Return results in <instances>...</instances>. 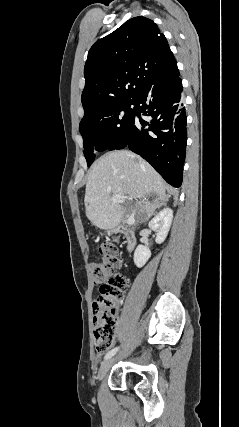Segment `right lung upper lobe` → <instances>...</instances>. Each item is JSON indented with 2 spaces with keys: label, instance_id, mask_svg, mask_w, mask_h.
I'll list each match as a JSON object with an SVG mask.
<instances>
[{
  "label": "right lung upper lobe",
  "instance_id": "obj_1",
  "mask_svg": "<svg viewBox=\"0 0 239 427\" xmlns=\"http://www.w3.org/2000/svg\"><path fill=\"white\" fill-rule=\"evenodd\" d=\"M179 72L165 36L145 17L126 21L89 50L84 67L85 113L111 100L136 99Z\"/></svg>",
  "mask_w": 239,
  "mask_h": 427
}]
</instances>
